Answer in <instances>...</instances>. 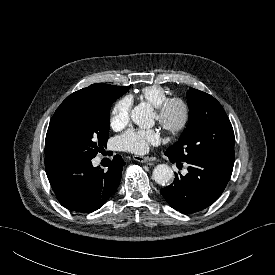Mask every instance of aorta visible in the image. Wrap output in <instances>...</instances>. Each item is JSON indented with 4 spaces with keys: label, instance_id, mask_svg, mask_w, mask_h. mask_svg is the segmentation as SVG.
Instances as JSON below:
<instances>
[{
    "label": "aorta",
    "instance_id": "762f6f07",
    "mask_svg": "<svg viewBox=\"0 0 275 275\" xmlns=\"http://www.w3.org/2000/svg\"><path fill=\"white\" fill-rule=\"evenodd\" d=\"M131 119L141 128L152 127L154 125L152 107L146 103L135 106L131 111ZM173 176V170L166 164H159L153 170V179L159 185H166Z\"/></svg>",
    "mask_w": 275,
    "mask_h": 275
}]
</instances>
